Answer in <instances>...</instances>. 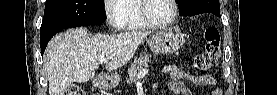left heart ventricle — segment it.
<instances>
[{"label":"left heart ventricle","mask_w":277,"mask_h":95,"mask_svg":"<svg viewBox=\"0 0 277 95\" xmlns=\"http://www.w3.org/2000/svg\"><path fill=\"white\" fill-rule=\"evenodd\" d=\"M146 11L151 19L166 21L173 13V6L170 0H149Z\"/></svg>","instance_id":"obj_1"}]
</instances>
